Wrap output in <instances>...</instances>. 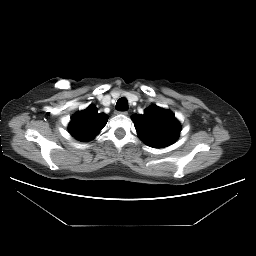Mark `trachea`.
Here are the masks:
<instances>
[{"instance_id":"3493384b","label":"trachea","mask_w":256,"mask_h":256,"mask_svg":"<svg viewBox=\"0 0 256 256\" xmlns=\"http://www.w3.org/2000/svg\"><path fill=\"white\" fill-rule=\"evenodd\" d=\"M115 108L118 111H127L128 110V100L125 97L118 99Z\"/></svg>"}]
</instances>
